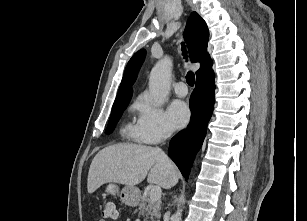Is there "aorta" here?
Segmentation results:
<instances>
[{
	"instance_id": "aorta-1",
	"label": "aorta",
	"mask_w": 307,
	"mask_h": 221,
	"mask_svg": "<svg viewBox=\"0 0 307 221\" xmlns=\"http://www.w3.org/2000/svg\"><path fill=\"white\" fill-rule=\"evenodd\" d=\"M172 60L165 56L152 68L149 77V91L156 106L165 102L171 85ZM182 209H178L172 216L171 221H180Z\"/></svg>"
}]
</instances>
